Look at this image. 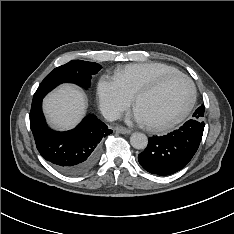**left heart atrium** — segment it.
Wrapping results in <instances>:
<instances>
[{
	"label": "left heart atrium",
	"instance_id": "1",
	"mask_svg": "<svg viewBox=\"0 0 234 234\" xmlns=\"http://www.w3.org/2000/svg\"><path fill=\"white\" fill-rule=\"evenodd\" d=\"M137 122H146L141 113L136 109L131 116Z\"/></svg>",
	"mask_w": 234,
	"mask_h": 234
}]
</instances>
